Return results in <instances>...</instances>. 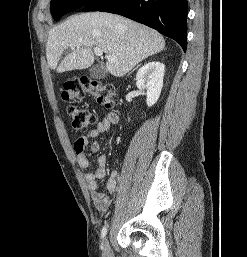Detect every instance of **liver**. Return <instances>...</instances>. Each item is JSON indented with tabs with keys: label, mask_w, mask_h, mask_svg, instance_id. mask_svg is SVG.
Returning a JSON list of instances; mask_svg holds the SVG:
<instances>
[{
	"label": "liver",
	"mask_w": 247,
	"mask_h": 257,
	"mask_svg": "<svg viewBox=\"0 0 247 257\" xmlns=\"http://www.w3.org/2000/svg\"><path fill=\"white\" fill-rule=\"evenodd\" d=\"M92 47L116 57L115 61L106 62V69L111 75L122 77L142 60L161 52L165 40L154 29L118 15H74L50 30L46 46L48 65L58 73L86 69L94 62ZM68 48L72 52L58 65Z\"/></svg>",
	"instance_id": "1"
}]
</instances>
